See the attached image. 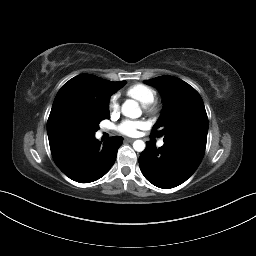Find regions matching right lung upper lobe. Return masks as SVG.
<instances>
[{
	"label": "right lung upper lobe",
	"instance_id": "cb5924a9",
	"mask_svg": "<svg viewBox=\"0 0 256 256\" xmlns=\"http://www.w3.org/2000/svg\"><path fill=\"white\" fill-rule=\"evenodd\" d=\"M119 82H111L94 75L81 74L69 80L58 91L47 122L48 137L60 136L63 116L69 112L89 115L108 109L110 95Z\"/></svg>",
	"mask_w": 256,
	"mask_h": 256
}]
</instances>
